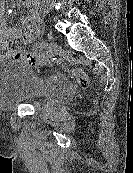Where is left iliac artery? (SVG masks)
Listing matches in <instances>:
<instances>
[{
    "instance_id": "left-iliac-artery-1",
    "label": "left iliac artery",
    "mask_w": 133,
    "mask_h": 173,
    "mask_svg": "<svg viewBox=\"0 0 133 173\" xmlns=\"http://www.w3.org/2000/svg\"><path fill=\"white\" fill-rule=\"evenodd\" d=\"M40 46H41L42 48H46V47H47V43H46L45 41H41V42H40Z\"/></svg>"
}]
</instances>
